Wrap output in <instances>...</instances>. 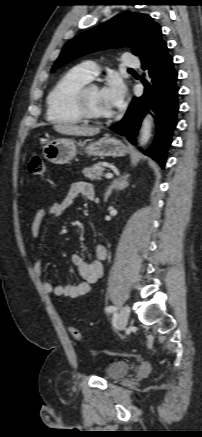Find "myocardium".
<instances>
[{
  "label": "myocardium",
  "instance_id": "myocardium-1",
  "mask_svg": "<svg viewBox=\"0 0 202 437\" xmlns=\"http://www.w3.org/2000/svg\"><path fill=\"white\" fill-rule=\"evenodd\" d=\"M92 88H99V86L96 83L87 82L76 91L74 95V106L76 112L78 113L80 118L84 121L93 122V123H103V122L110 121L113 118V115L101 117L93 114L90 111L88 107L87 97L89 91Z\"/></svg>",
  "mask_w": 202,
  "mask_h": 437
}]
</instances>
